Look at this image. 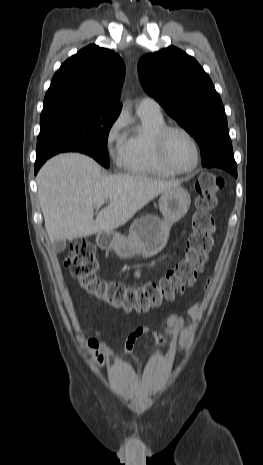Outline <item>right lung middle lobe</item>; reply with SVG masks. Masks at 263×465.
Here are the masks:
<instances>
[{
    "label": "right lung middle lobe",
    "instance_id": "dd1d6c3e",
    "mask_svg": "<svg viewBox=\"0 0 263 465\" xmlns=\"http://www.w3.org/2000/svg\"><path fill=\"white\" fill-rule=\"evenodd\" d=\"M120 110L74 102L44 105L36 147V163L60 152H81L109 166L107 139Z\"/></svg>",
    "mask_w": 263,
    "mask_h": 465
}]
</instances>
